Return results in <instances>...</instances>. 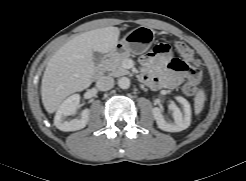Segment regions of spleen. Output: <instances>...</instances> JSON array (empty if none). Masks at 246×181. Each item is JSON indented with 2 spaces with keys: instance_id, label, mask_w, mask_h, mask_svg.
Returning a JSON list of instances; mask_svg holds the SVG:
<instances>
[{
  "instance_id": "spleen-1",
  "label": "spleen",
  "mask_w": 246,
  "mask_h": 181,
  "mask_svg": "<svg viewBox=\"0 0 246 181\" xmlns=\"http://www.w3.org/2000/svg\"><path fill=\"white\" fill-rule=\"evenodd\" d=\"M206 95L203 89H199L194 97V110L195 114L198 115L204 107Z\"/></svg>"
}]
</instances>
